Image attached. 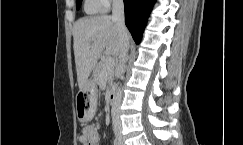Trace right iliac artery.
I'll use <instances>...</instances> for the list:
<instances>
[{"mask_svg":"<svg viewBox=\"0 0 243 145\" xmlns=\"http://www.w3.org/2000/svg\"><path fill=\"white\" fill-rule=\"evenodd\" d=\"M114 145H120V140H119V138H115L114 139Z\"/></svg>","mask_w":243,"mask_h":145,"instance_id":"right-iliac-artery-1","label":"right iliac artery"}]
</instances>
